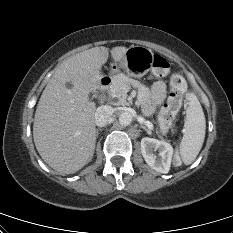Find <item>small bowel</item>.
<instances>
[{"label":"small bowel","mask_w":233,"mask_h":233,"mask_svg":"<svg viewBox=\"0 0 233 233\" xmlns=\"http://www.w3.org/2000/svg\"><path fill=\"white\" fill-rule=\"evenodd\" d=\"M166 98V83L164 81H157L152 86V104L148 107L151 111L154 106L161 104Z\"/></svg>","instance_id":"obj_1"}]
</instances>
